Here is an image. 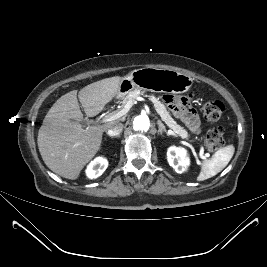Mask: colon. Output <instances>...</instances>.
Masks as SVG:
<instances>
[{"mask_svg":"<svg viewBox=\"0 0 267 267\" xmlns=\"http://www.w3.org/2000/svg\"><path fill=\"white\" fill-rule=\"evenodd\" d=\"M224 106L218 100H207L202 106V112L207 121H218L223 113ZM206 147L211 151L220 149L224 144L223 131L220 127L211 129L205 137Z\"/></svg>","mask_w":267,"mask_h":267,"instance_id":"5ec220e1","label":"colon"}]
</instances>
